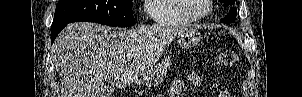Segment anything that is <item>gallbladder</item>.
<instances>
[{
  "label": "gallbladder",
  "instance_id": "bac80fb5",
  "mask_svg": "<svg viewBox=\"0 0 302 97\" xmlns=\"http://www.w3.org/2000/svg\"><path fill=\"white\" fill-rule=\"evenodd\" d=\"M113 92V88L110 85H106L103 87L102 92H101V97H109Z\"/></svg>",
  "mask_w": 302,
  "mask_h": 97
}]
</instances>
